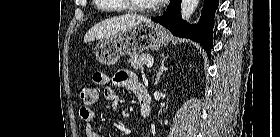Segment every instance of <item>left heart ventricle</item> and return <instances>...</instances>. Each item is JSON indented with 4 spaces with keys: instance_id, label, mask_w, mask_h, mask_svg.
Returning <instances> with one entry per match:
<instances>
[{
    "instance_id": "b2bd125f",
    "label": "left heart ventricle",
    "mask_w": 280,
    "mask_h": 137,
    "mask_svg": "<svg viewBox=\"0 0 280 137\" xmlns=\"http://www.w3.org/2000/svg\"><path fill=\"white\" fill-rule=\"evenodd\" d=\"M135 1L142 6H149V5L153 4L152 0H135Z\"/></svg>"
}]
</instances>
